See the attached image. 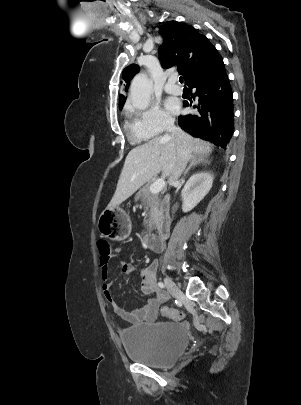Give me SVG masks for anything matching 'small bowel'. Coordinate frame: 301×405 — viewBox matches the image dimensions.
<instances>
[{
    "instance_id": "1",
    "label": "small bowel",
    "mask_w": 301,
    "mask_h": 405,
    "mask_svg": "<svg viewBox=\"0 0 301 405\" xmlns=\"http://www.w3.org/2000/svg\"><path fill=\"white\" fill-rule=\"evenodd\" d=\"M120 249H115L114 253H110L108 257L100 256V274L104 283L102 286L103 295L108 303H110L115 312L124 320L132 323L138 324L141 322H152L156 320L159 313L160 306L166 302L168 296L166 293L160 291L155 284V273L157 263L152 262L147 267L139 271L141 276L140 288L145 295H154L153 298L149 299L147 303L136 310L126 311L120 307H117L114 302V298L111 292V285L107 282L109 275V261L112 257H120ZM120 268L123 274H130L135 272V268L125 260L121 259Z\"/></svg>"
}]
</instances>
